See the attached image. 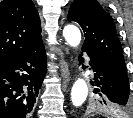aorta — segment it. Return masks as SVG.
<instances>
[{"label":"aorta","mask_w":133,"mask_h":118,"mask_svg":"<svg viewBox=\"0 0 133 118\" xmlns=\"http://www.w3.org/2000/svg\"><path fill=\"white\" fill-rule=\"evenodd\" d=\"M63 36L66 42L72 46L77 47L81 41V32L75 25H67L63 29ZM88 95V86L84 79L79 78L75 81L71 90L72 104L76 107L81 106Z\"/></svg>","instance_id":"762f6f07"}]
</instances>
